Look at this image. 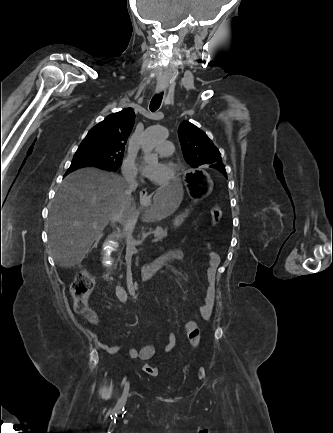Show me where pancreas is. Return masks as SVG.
<instances>
[{
	"label": "pancreas",
	"mask_w": 333,
	"mask_h": 433,
	"mask_svg": "<svg viewBox=\"0 0 333 433\" xmlns=\"http://www.w3.org/2000/svg\"><path fill=\"white\" fill-rule=\"evenodd\" d=\"M154 234L158 238V240L161 241L163 238L167 236V228H162L161 226H157L156 230L154 231Z\"/></svg>",
	"instance_id": "obj_1"
}]
</instances>
